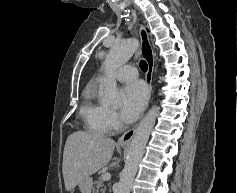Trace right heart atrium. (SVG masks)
Returning a JSON list of instances; mask_svg holds the SVG:
<instances>
[{"instance_id": "obj_1", "label": "right heart atrium", "mask_w": 237, "mask_h": 193, "mask_svg": "<svg viewBox=\"0 0 237 193\" xmlns=\"http://www.w3.org/2000/svg\"><path fill=\"white\" fill-rule=\"evenodd\" d=\"M108 124H109L110 129H115L120 124L119 116L113 110L108 111Z\"/></svg>"}]
</instances>
